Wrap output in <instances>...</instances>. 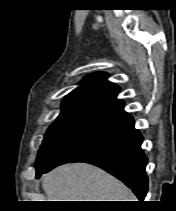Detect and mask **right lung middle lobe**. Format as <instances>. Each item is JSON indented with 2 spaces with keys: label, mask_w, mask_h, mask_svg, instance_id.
<instances>
[{
  "label": "right lung middle lobe",
  "mask_w": 176,
  "mask_h": 211,
  "mask_svg": "<svg viewBox=\"0 0 176 211\" xmlns=\"http://www.w3.org/2000/svg\"><path fill=\"white\" fill-rule=\"evenodd\" d=\"M97 124L68 118H57L44 137L39 149L36 170L52 162L63 150L85 135Z\"/></svg>",
  "instance_id": "right-lung-middle-lobe-1"
}]
</instances>
